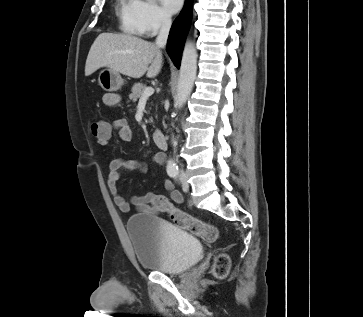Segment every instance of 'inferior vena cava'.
Returning <instances> with one entry per match:
<instances>
[{
    "label": "inferior vena cava",
    "instance_id": "1",
    "mask_svg": "<svg viewBox=\"0 0 363 317\" xmlns=\"http://www.w3.org/2000/svg\"><path fill=\"white\" fill-rule=\"evenodd\" d=\"M171 18L168 16H162L161 18V28H160V32L156 38L155 44L159 47V48H164L167 44V39H168V35H169V31L171 28ZM172 143L174 146H176L177 142L174 140V138L172 139Z\"/></svg>",
    "mask_w": 363,
    "mask_h": 317
}]
</instances>
